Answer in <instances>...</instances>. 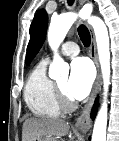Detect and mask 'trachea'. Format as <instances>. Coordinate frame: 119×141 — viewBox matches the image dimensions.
<instances>
[{
    "mask_svg": "<svg viewBox=\"0 0 119 141\" xmlns=\"http://www.w3.org/2000/svg\"><path fill=\"white\" fill-rule=\"evenodd\" d=\"M73 2V0H68L69 5H72ZM77 30L83 45L88 47L91 43V37L88 28L85 25H80Z\"/></svg>",
    "mask_w": 119,
    "mask_h": 141,
    "instance_id": "1",
    "label": "trachea"
}]
</instances>
